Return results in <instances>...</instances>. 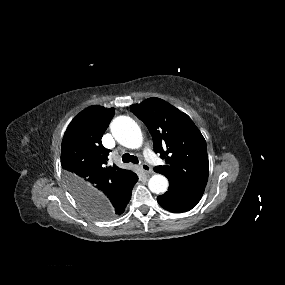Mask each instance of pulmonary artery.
I'll return each mask as SVG.
<instances>
[{
  "mask_svg": "<svg viewBox=\"0 0 285 285\" xmlns=\"http://www.w3.org/2000/svg\"><path fill=\"white\" fill-rule=\"evenodd\" d=\"M144 156L146 160L149 161L153 165H157L159 163L158 156L154 153V151L152 150L149 144L145 145Z\"/></svg>",
  "mask_w": 285,
  "mask_h": 285,
  "instance_id": "pulmonary-artery-1",
  "label": "pulmonary artery"
}]
</instances>
